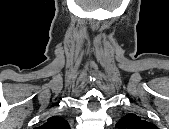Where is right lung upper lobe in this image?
<instances>
[{"label":"right lung upper lobe","mask_w":169,"mask_h":129,"mask_svg":"<svg viewBox=\"0 0 169 129\" xmlns=\"http://www.w3.org/2000/svg\"><path fill=\"white\" fill-rule=\"evenodd\" d=\"M42 128L44 129H68L69 124L65 119L59 116H53V117H50L48 121L42 125Z\"/></svg>","instance_id":"right-lung-upper-lobe-1"}]
</instances>
